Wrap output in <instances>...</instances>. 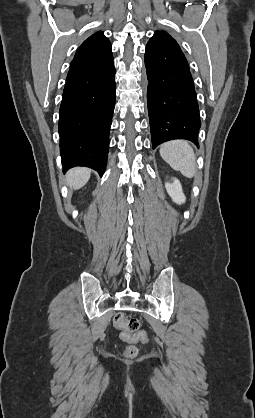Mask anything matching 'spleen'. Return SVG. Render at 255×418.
Returning <instances> with one entry per match:
<instances>
[{"mask_svg": "<svg viewBox=\"0 0 255 418\" xmlns=\"http://www.w3.org/2000/svg\"><path fill=\"white\" fill-rule=\"evenodd\" d=\"M160 155L170 167L180 171L187 178L196 174V158L189 142L185 140L168 141L161 145Z\"/></svg>", "mask_w": 255, "mask_h": 418, "instance_id": "obj_1", "label": "spleen"}]
</instances>
